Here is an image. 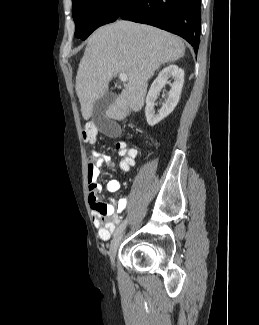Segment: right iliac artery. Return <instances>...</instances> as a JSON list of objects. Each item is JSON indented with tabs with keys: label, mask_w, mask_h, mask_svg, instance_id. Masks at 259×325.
<instances>
[{
	"label": "right iliac artery",
	"mask_w": 259,
	"mask_h": 325,
	"mask_svg": "<svg viewBox=\"0 0 259 325\" xmlns=\"http://www.w3.org/2000/svg\"><path fill=\"white\" fill-rule=\"evenodd\" d=\"M127 223V220L125 219L120 225L119 227L116 229L115 233H114V237H116L117 235H119L125 228Z\"/></svg>",
	"instance_id": "82829eb1"
}]
</instances>
